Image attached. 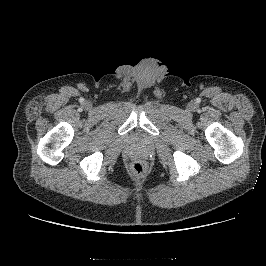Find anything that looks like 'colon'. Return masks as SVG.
Here are the masks:
<instances>
[{"label": "colon", "instance_id": "colon-1", "mask_svg": "<svg viewBox=\"0 0 266 266\" xmlns=\"http://www.w3.org/2000/svg\"><path fill=\"white\" fill-rule=\"evenodd\" d=\"M132 173L137 177H142L147 172V166L143 161L137 160L131 165Z\"/></svg>", "mask_w": 266, "mask_h": 266}]
</instances>
